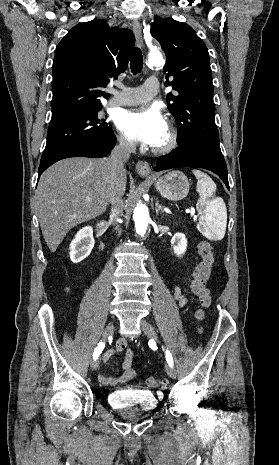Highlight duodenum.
<instances>
[{
  "mask_svg": "<svg viewBox=\"0 0 279 465\" xmlns=\"http://www.w3.org/2000/svg\"><path fill=\"white\" fill-rule=\"evenodd\" d=\"M104 224H105L104 222H100V223L97 224V226H96V232H97L98 234H100V233L102 232V230H103V228H104ZM104 248H105V243H104L103 241H100V243H99V249H100V250H104Z\"/></svg>",
  "mask_w": 279,
  "mask_h": 465,
  "instance_id": "410a0bca",
  "label": "duodenum"
}]
</instances>
